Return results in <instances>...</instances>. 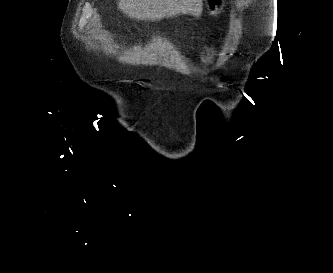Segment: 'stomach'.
Returning a JSON list of instances; mask_svg holds the SVG:
<instances>
[{"instance_id": "0dacf381", "label": "stomach", "mask_w": 333, "mask_h": 273, "mask_svg": "<svg viewBox=\"0 0 333 273\" xmlns=\"http://www.w3.org/2000/svg\"><path fill=\"white\" fill-rule=\"evenodd\" d=\"M207 4H211L212 6L215 4H225V0H207ZM213 11H214V9H213ZM206 49H207L208 56H215L216 51H221V49H222L220 40L212 39L211 44H207Z\"/></svg>"}]
</instances>
